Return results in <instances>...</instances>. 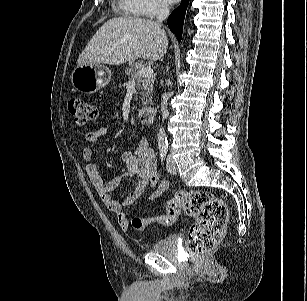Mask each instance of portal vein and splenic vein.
<instances>
[{
    "instance_id": "18ae733b",
    "label": "portal vein and splenic vein",
    "mask_w": 307,
    "mask_h": 301,
    "mask_svg": "<svg viewBox=\"0 0 307 301\" xmlns=\"http://www.w3.org/2000/svg\"><path fill=\"white\" fill-rule=\"evenodd\" d=\"M137 74L139 77L150 78L153 75V69L151 67H144Z\"/></svg>"
}]
</instances>
